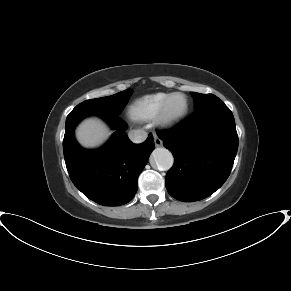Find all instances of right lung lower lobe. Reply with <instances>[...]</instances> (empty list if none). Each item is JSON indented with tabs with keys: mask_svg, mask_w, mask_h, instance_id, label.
<instances>
[{
	"mask_svg": "<svg viewBox=\"0 0 291 291\" xmlns=\"http://www.w3.org/2000/svg\"><path fill=\"white\" fill-rule=\"evenodd\" d=\"M97 115L115 130L98 150L82 148L74 138L76 125L86 116ZM118 115L91 110H72L66 118L63 151L73 184L86 197L104 206H119L133 199L137 180L154 149L153 136L133 144Z\"/></svg>",
	"mask_w": 291,
	"mask_h": 291,
	"instance_id": "obj_1",
	"label": "right lung lower lobe"
}]
</instances>
